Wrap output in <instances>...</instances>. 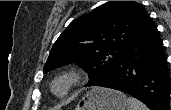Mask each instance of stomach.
Listing matches in <instances>:
<instances>
[{
  "label": "stomach",
  "instance_id": "0dacf381",
  "mask_svg": "<svg viewBox=\"0 0 171 110\" xmlns=\"http://www.w3.org/2000/svg\"><path fill=\"white\" fill-rule=\"evenodd\" d=\"M126 96L118 91L94 88L78 103L76 110H128Z\"/></svg>",
  "mask_w": 171,
  "mask_h": 110
}]
</instances>
